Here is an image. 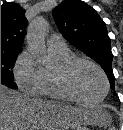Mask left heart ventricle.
Segmentation results:
<instances>
[{"label":"left heart ventricle","instance_id":"left-heart-ventricle-1","mask_svg":"<svg viewBox=\"0 0 123 130\" xmlns=\"http://www.w3.org/2000/svg\"><path fill=\"white\" fill-rule=\"evenodd\" d=\"M70 81L75 92L86 99L100 98L105 89V84L100 73L88 64H78L70 75Z\"/></svg>","mask_w":123,"mask_h":130}]
</instances>
